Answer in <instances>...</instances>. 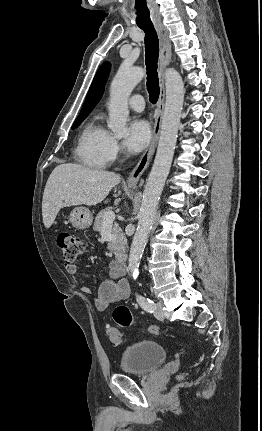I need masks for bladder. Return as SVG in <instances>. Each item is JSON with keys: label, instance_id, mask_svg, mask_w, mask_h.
Here are the masks:
<instances>
[{"label": "bladder", "instance_id": "1", "mask_svg": "<svg viewBox=\"0 0 262 431\" xmlns=\"http://www.w3.org/2000/svg\"><path fill=\"white\" fill-rule=\"evenodd\" d=\"M168 353L151 339H138L123 351L120 359L122 372L133 375L148 374L166 361Z\"/></svg>", "mask_w": 262, "mask_h": 431}]
</instances>
